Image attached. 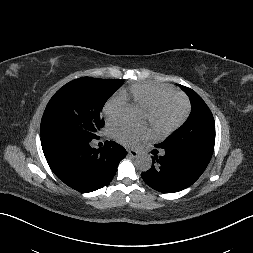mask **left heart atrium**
Listing matches in <instances>:
<instances>
[{
	"label": "left heart atrium",
	"mask_w": 253,
	"mask_h": 253,
	"mask_svg": "<svg viewBox=\"0 0 253 253\" xmlns=\"http://www.w3.org/2000/svg\"><path fill=\"white\" fill-rule=\"evenodd\" d=\"M113 136L124 145L134 146L139 141L149 138L151 136V131L147 126H118L113 129Z\"/></svg>",
	"instance_id": "1"
}]
</instances>
